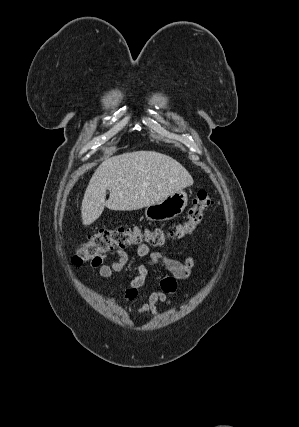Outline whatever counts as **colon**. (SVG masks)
<instances>
[{
	"label": "colon",
	"instance_id": "5ec220e1",
	"mask_svg": "<svg viewBox=\"0 0 299 427\" xmlns=\"http://www.w3.org/2000/svg\"><path fill=\"white\" fill-rule=\"evenodd\" d=\"M213 205V199L205 191H199L188 210L187 219L171 230L162 227L142 228L139 226L103 228L94 233L72 257L75 266L86 263L94 265L104 257L127 246L147 242L162 246L168 240L178 239L192 233L204 220L205 213Z\"/></svg>",
	"mask_w": 299,
	"mask_h": 427
}]
</instances>
